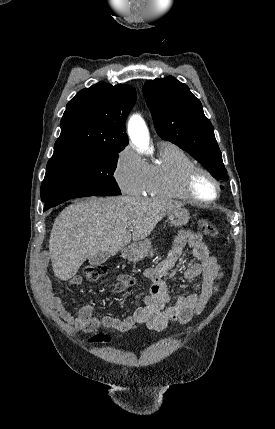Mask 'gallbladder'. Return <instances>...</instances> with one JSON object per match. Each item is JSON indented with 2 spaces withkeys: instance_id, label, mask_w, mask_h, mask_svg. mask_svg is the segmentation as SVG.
<instances>
[{
  "instance_id": "obj_1",
  "label": "gallbladder",
  "mask_w": 275,
  "mask_h": 429,
  "mask_svg": "<svg viewBox=\"0 0 275 429\" xmlns=\"http://www.w3.org/2000/svg\"><path fill=\"white\" fill-rule=\"evenodd\" d=\"M109 254L107 252H98L96 255L89 259V264L92 266H99L107 261Z\"/></svg>"
}]
</instances>
